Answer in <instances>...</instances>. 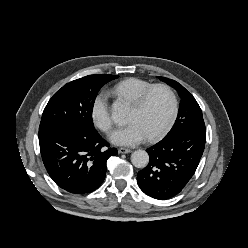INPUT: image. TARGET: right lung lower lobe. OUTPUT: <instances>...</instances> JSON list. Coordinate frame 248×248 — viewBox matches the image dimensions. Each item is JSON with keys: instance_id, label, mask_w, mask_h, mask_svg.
I'll list each match as a JSON object with an SVG mask.
<instances>
[{"instance_id": "98d812e1", "label": "right lung lower lobe", "mask_w": 248, "mask_h": 248, "mask_svg": "<svg viewBox=\"0 0 248 248\" xmlns=\"http://www.w3.org/2000/svg\"><path fill=\"white\" fill-rule=\"evenodd\" d=\"M44 166L53 181L74 194L90 193L106 176L109 157L116 148L97 133L79 127H61L39 139Z\"/></svg>"}]
</instances>
